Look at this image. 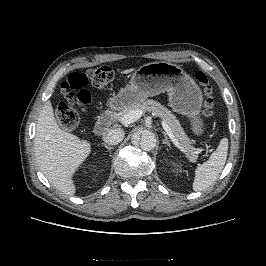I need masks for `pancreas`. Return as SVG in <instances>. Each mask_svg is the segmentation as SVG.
<instances>
[{"instance_id": "pancreas-1", "label": "pancreas", "mask_w": 266, "mask_h": 266, "mask_svg": "<svg viewBox=\"0 0 266 266\" xmlns=\"http://www.w3.org/2000/svg\"><path fill=\"white\" fill-rule=\"evenodd\" d=\"M136 109H140L143 113L152 112L154 115L163 119V121H165L171 128L179 144L186 150L187 156L189 157L190 161H196L197 155L194 152L195 148L192 145L193 141H191L185 134L175 115L159 102L154 100H145L142 103L134 104L121 109L118 113H114L113 117L121 121L124 115Z\"/></svg>"}]
</instances>
